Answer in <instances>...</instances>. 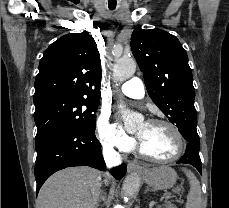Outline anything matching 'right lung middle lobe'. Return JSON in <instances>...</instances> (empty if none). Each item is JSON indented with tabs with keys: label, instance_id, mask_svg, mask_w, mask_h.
Here are the masks:
<instances>
[{
	"label": "right lung middle lobe",
	"instance_id": "right-lung-middle-lobe-1",
	"mask_svg": "<svg viewBox=\"0 0 229 208\" xmlns=\"http://www.w3.org/2000/svg\"><path fill=\"white\" fill-rule=\"evenodd\" d=\"M35 141L60 127L94 132L99 101L72 95H50L34 101Z\"/></svg>",
	"mask_w": 229,
	"mask_h": 208
}]
</instances>
